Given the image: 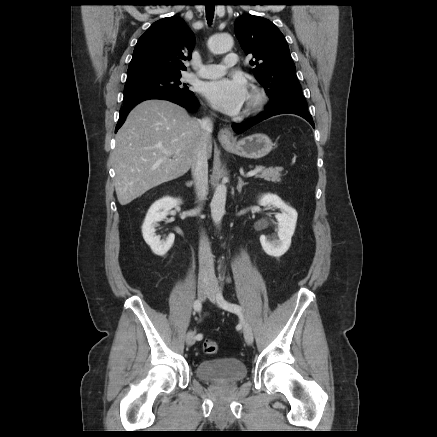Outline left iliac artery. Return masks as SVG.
<instances>
[{
  "mask_svg": "<svg viewBox=\"0 0 437 437\" xmlns=\"http://www.w3.org/2000/svg\"><path fill=\"white\" fill-rule=\"evenodd\" d=\"M216 298H217L218 304L223 309L231 311V312H240L241 311V307L239 305L229 303L224 299V297L222 295V287H220V290L217 293Z\"/></svg>",
  "mask_w": 437,
  "mask_h": 437,
  "instance_id": "left-iliac-artery-1",
  "label": "left iliac artery"
}]
</instances>
